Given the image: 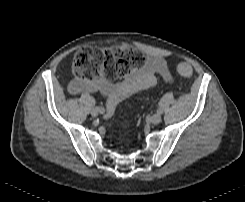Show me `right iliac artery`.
<instances>
[{"instance_id": "obj_1", "label": "right iliac artery", "mask_w": 245, "mask_h": 202, "mask_svg": "<svg viewBox=\"0 0 245 202\" xmlns=\"http://www.w3.org/2000/svg\"><path fill=\"white\" fill-rule=\"evenodd\" d=\"M99 108L102 110L101 113H104L105 112V109L103 107H99Z\"/></svg>"}]
</instances>
